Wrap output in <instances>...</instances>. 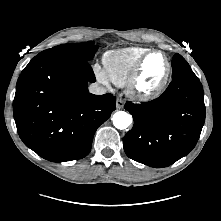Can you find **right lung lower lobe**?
Here are the masks:
<instances>
[{
  "label": "right lung lower lobe",
  "instance_id": "right-lung-lower-lobe-1",
  "mask_svg": "<svg viewBox=\"0 0 221 221\" xmlns=\"http://www.w3.org/2000/svg\"><path fill=\"white\" fill-rule=\"evenodd\" d=\"M95 82L88 62L32 59L21 72L13 101V114L21 140L52 162L88 155L97 128L116 108L111 94L93 95Z\"/></svg>",
  "mask_w": 221,
  "mask_h": 221
}]
</instances>
